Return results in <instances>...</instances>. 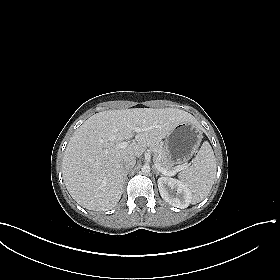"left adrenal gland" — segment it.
<instances>
[{"instance_id":"1","label":"left adrenal gland","mask_w":280,"mask_h":280,"mask_svg":"<svg viewBox=\"0 0 280 280\" xmlns=\"http://www.w3.org/2000/svg\"><path fill=\"white\" fill-rule=\"evenodd\" d=\"M154 173L158 176V175H163V174H161L156 168H154Z\"/></svg>"}]
</instances>
